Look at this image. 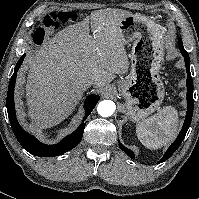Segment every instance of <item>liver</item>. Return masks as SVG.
Segmentation results:
<instances>
[{"label":"liver","mask_w":199,"mask_h":199,"mask_svg":"<svg viewBox=\"0 0 199 199\" xmlns=\"http://www.w3.org/2000/svg\"><path fill=\"white\" fill-rule=\"evenodd\" d=\"M130 14L112 8L93 11L45 40L33 55L28 53L25 89L34 128H49L67 118L87 89V80L104 88L115 74L128 72L119 25Z\"/></svg>","instance_id":"liver-1"}]
</instances>
